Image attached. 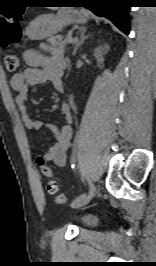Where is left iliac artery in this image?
Instances as JSON below:
<instances>
[{"label":"left iliac artery","instance_id":"left-iliac-artery-1","mask_svg":"<svg viewBox=\"0 0 156 266\" xmlns=\"http://www.w3.org/2000/svg\"><path fill=\"white\" fill-rule=\"evenodd\" d=\"M93 185H94V182H88V188H89V193L90 194H93L94 192L97 191V188H95V186H93Z\"/></svg>","mask_w":156,"mask_h":266}]
</instances>
